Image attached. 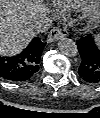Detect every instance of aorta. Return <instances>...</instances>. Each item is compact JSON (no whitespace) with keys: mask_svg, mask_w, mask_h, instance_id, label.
I'll return each instance as SVG.
<instances>
[{"mask_svg":"<svg viewBox=\"0 0 100 118\" xmlns=\"http://www.w3.org/2000/svg\"><path fill=\"white\" fill-rule=\"evenodd\" d=\"M58 48L63 55L68 57H75L78 53L76 43L67 37L60 38L58 41Z\"/></svg>","mask_w":100,"mask_h":118,"instance_id":"762f6f07","label":"aorta"}]
</instances>
